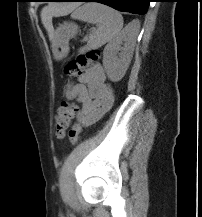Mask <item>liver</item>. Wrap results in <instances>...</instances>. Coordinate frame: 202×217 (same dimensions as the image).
Listing matches in <instances>:
<instances>
[{"mask_svg":"<svg viewBox=\"0 0 202 217\" xmlns=\"http://www.w3.org/2000/svg\"><path fill=\"white\" fill-rule=\"evenodd\" d=\"M76 5L74 4H55L44 7L41 11V20L49 33V36L52 38V17L65 16L71 13L75 9Z\"/></svg>","mask_w":202,"mask_h":217,"instance_id":"liver-1","label":"liver"}]
</instances>
